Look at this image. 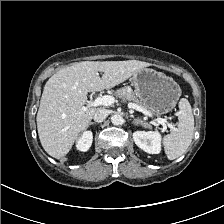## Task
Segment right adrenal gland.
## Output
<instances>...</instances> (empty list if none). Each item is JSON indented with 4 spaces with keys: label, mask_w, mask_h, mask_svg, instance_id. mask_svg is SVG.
Masks as SVG:
<instances>
[{
    "label": "right adrenal gland",
    "mask_w": 224,
    "mask_h": 224,
    "mask_svg": "<svg viewBox=\"0 0 224 224\" xmlns=\"http://www.w3.org/2000/svg\"><path fill=\"white\" fill-rule=\"evenodd\" d=\"M94 124H96V123H95V122H90V123H89V125H94Z\"/></svg>",
    "instance_id": "2a0ac1e0"
}]
</instances>
